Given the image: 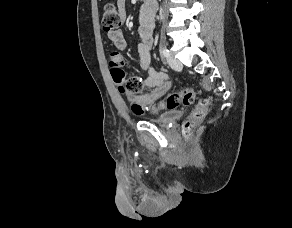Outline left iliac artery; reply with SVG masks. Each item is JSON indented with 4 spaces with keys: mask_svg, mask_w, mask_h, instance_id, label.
<instances>
[{
    "mask_svg": "<svg viewBox=\"0 0 292 228\" xmlns=\"http://www.w3.org/2000/svg\"><path fill=\"white\" fill-rule=\"evenodd\" d=\"M162 55L164 56V57H169V50L167 49V48H163L162 49Z\"/></svg>",
    "mask_w": 292,
    "mask_h": 228,
    "instance_id": "obj_1",
    "label": "left iliac artery"
}]
</instances>
